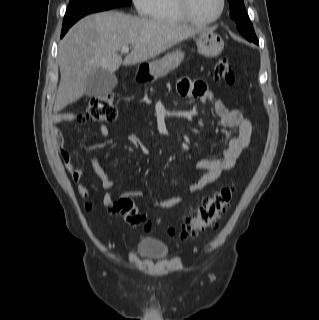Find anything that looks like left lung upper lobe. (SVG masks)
Here are the masks:
<instances>
[{
	"mask_svg": "<svg viewBox=\"0 0 319 320\" xmlns=\"http://www.w3.org/2000/svg\"><path fill=\"white\" fill-rule=\"evenodd\" d=\"M230 16L235 20L238 31L248 37H256L252 23L246 12L243 0H228Z\"/></svg>",
	"mask_w": 319,
	"mask_h": 320,
	"instance_id": "left-lung-upper-lobe-1",
	"label": "left lung upper lobe"
}]
</instances>
